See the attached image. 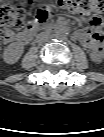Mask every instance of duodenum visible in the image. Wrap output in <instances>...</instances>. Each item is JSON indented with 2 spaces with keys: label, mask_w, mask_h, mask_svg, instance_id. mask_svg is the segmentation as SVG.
Returning <instances> with one entry per match:
<instances>
[{
  "label": "duodenum",
  "mask_w": 104,
  "mask_h": 137,
  "mask_svg": "<svg viewBox=\"0 0 104 137\" xmlns=\"http://www.w3.org/2000/svg\"><path fill=\"white\" fill-rule=\"evenodd\" d=\"M42 33V28L40 26H33L29 31H28V36L29 38H33L39 34Z\"/></svg>",
  "instance_id": "1"
}]
</instances>
